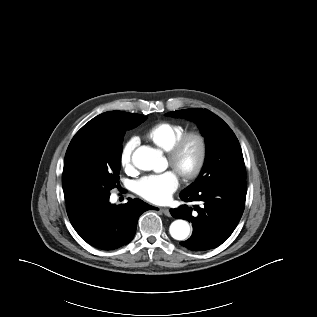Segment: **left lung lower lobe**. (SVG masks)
I'll use <instances>...</instances> for the list:
<instances>
[{
    "mask_svg": "<svg viewBox=\"0 0 317 317\" xmlns=\"http://www.w3.org/2000/svg\"><path fill=\"white\" fill-rule=\"evenodd\" d=\"M185 202L195 201V216L192 208L182 205L171 209L174 218L192 223V236L180 244L192 251L214 249L232 234L244 211L246 181L217 183L195 193H180Z\"/></svg>",
    "mask_w": 317,
    "mask_h": 317,
    "instance_id": "left-lung-lower-lobe-1",
    "label": "left lung lower lobe"
}]
</instances>
